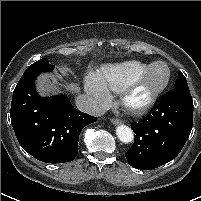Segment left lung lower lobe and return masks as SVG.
<instances>
[{
	"mask_svg": "<svg viewBox=\"0 0 201 201\" xmlns=\"http://www.w3.org/2000/svg\"><path fill=\"white\" fill-rule=\"evenodd\" d=\"M193 109L189 87L179 86L167 92L147 116L131 124L136 135L125 154L128 164L151 170L173 160L190 135Z\"/></svg>",
	"mask_w": 201,
	"mask_h": 201,
	"instance_id": "left-lung-lower-lobe-1",
	"label": "left lung lower lobe"
}]
</instances>
